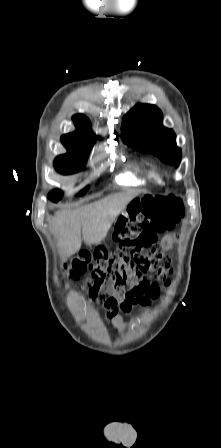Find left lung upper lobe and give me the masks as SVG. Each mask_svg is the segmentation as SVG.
I'll list each match as a JSON object with an SVG mask.
<instances>
[{
    "mask_svg": "<svg viewBox=\"0 0 221 448\" xmlns=\"http://www.w3.org/2000/svg\"><path fill=\"white\" fill-rule=\"evenodd\" d=\"M121 138L134 149L147 151L163 162L179 166L181 150L176 136L162 125V113L154 105L138 104L123 118Z\"/></svg>",
    "mask_w": 221,
    "mask_h": 448,
    "instance_id": "5c2ea615",
    "label": "left lung upper lobe"
}]
</instances>
